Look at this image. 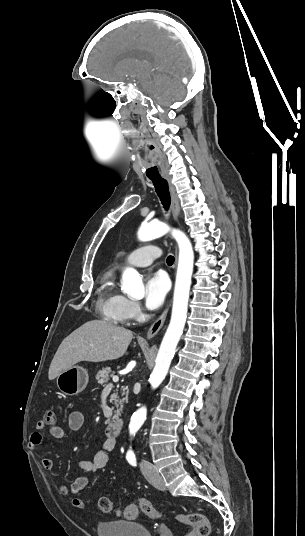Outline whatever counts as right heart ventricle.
I'll return each instance as SVG.
<instances>
[{
    "instance_id": "e07e8e85",
    "label": "right heart ventricle",
    "mask_w": 305,
    "mask_h": 536,
    "mask_svg": "<svg viewBox=\"0 0 305 536\" xmlns=\"http://www.w3.org/2000/svg\"><path fill=\"white\" fill-rule=\"evenodd\" d=\"M126 298L119 293L112 272H105L100 281L97 303L106 318L114 323L124 324L128 319L124 312Z\"/></svg>"
}]
</instances>
